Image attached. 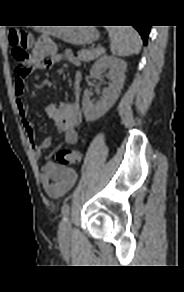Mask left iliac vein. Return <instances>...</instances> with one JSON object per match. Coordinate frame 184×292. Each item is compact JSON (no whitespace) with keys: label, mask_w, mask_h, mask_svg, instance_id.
Masks as SVG:
<instances>
[{"label":"left iliac vein","mask_w":184,"mask_h":292,"mask_svg":"<svg viewBox=\"0 0 184 292\" xmlns=\"http://www.w3.org/2000/svg\"><path fill=\"white\" fill-rule=\"evenodd\" d=\"M71 231H72L71 222H70L69 218H67L60 225V228H59V240L61 242H63L66 239H68L70 234H71Z\"/></svg>","instance_id":"1"}]
</instances>
